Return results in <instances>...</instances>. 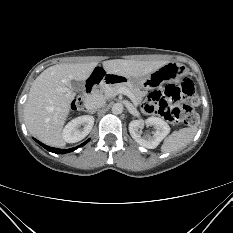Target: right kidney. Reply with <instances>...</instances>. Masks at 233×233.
I'll return each instance as SVG.
<instances>
[{
	"label": "right kidney",
	"instance_id": "1",
	"mask_svg": "<svg viewBox=\"0 0 233 233\" xmlns=\"http://www.w3.org/2000/svg\"><path fill=\"white\" fill-rule=\"evenodd\" d=\"M94 117L89 115L79 116L71 120L63 129L62 137L67 143H76L84 139L92 130ZM83 126V128H80Z\"/></svg>",
	"mask_w": 233,
	"mask_h": 233
}]
</instances>
